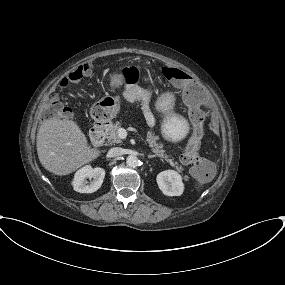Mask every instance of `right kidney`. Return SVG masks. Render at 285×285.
<instances>
[{"mask_svg": "<svg viewBox=\"0 0 285 285\" xmlns=\"http://www.w3.org/2000/svg\"><path fill=\"white\" fill-rule=\"evenodd\" d=\"M105 170L103 168H92L91 166H85L75 173L73 179L74 190L79 193H93L97 191L104 180ZM86 179H93L88 184Z\"/></svg>", "mask_w": 285, "mask_h": 285, "instance_id": "ca27d5eb", "label": "right kidney"}]
</instances>
